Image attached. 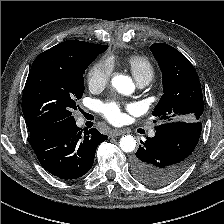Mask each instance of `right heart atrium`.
Listing matches in <instances>:
<instances>
[{
	"mask_svg": "<svg viewBox=\"0 0 224 224\" xmlns=\"http://www.w3.org/2000/svg\"><path fill=\"white\" fill-rule=\"evenodd\" d=\"M112 61L100 60L94 63L88 71L87 82L91 89L101 90L105 88L112 76Z\"/></svg>",
	"mask_w": 224,
	"mask_h": 224,
	"instance_id": "obj_1",
	"label": "right heart atrium"
}]
</instances>
